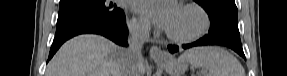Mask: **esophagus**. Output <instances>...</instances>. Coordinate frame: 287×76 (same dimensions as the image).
I'll list each match as a JSON object with an SVG mask.
<instances>
[{"label":"esophagus","mask_w":287,"mask_h":76,"mask_svg":"<svg viewBox=\"0 0 287 76\" xmlns=\"http://www.w3.org/2000/svg\"><path fill=\"white\" fill-rule=\"evenodd\" d=\"M150 57L156 62H162L168 59V54L158 46L150 48Z\"/></svg>","instance_id":"1"}]
</instances>
